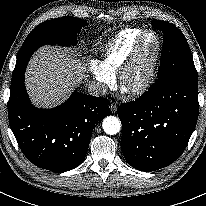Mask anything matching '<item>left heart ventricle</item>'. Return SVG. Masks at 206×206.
<instances>
[{
  "instance_id": "1",
  "label": "left heart ventricle",
  "mask_w": 206,
  "mask_h": 206,
  "mask_svg": "<svg viewBox=\"0 0 206 206\" xmlns=\"http://www.w3.org/2000/svg\"><path fill=\"white\" fill-rule=\"evenodd\" d=\"M154 51L155 39L154 37L149 36L142 47L138 61L135 63L126 77L125 86L127 88L137 84L144 78L152 61Z\"/></svg>"
}]
</instances>
